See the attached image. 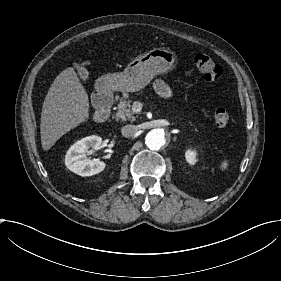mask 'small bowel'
Instances as JSON below:
<instances>
[{"label":"small bowel","mask_w":281,"mask_h":281,"mask_svg":"<svg viewBox=\"0 0 281 281\" xmlns=\"http://www.w3.org/2000/svg\"><path fill=\"white\" fill-rule=\"evenodd\" d=\"M154 88L158 92L159 95L165 98H170L173 96V93L169 86L160 79L154 81Z\"/></svg>","instance_id":"1"}]
</instances>
